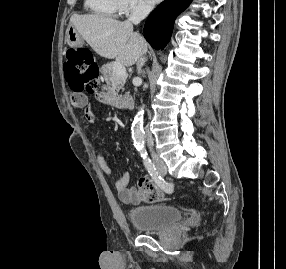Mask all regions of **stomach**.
I'll return each mask as SVG.
<instances>
[{"mask_svg": "<svg viewBox=\"0 0 286 269\" xmlns=\"http://www.w3.org/2000/svg\"><path fill=\"white\" fill-rule=\"evenodd\" d=\"M66 42L70 46H80L83 44V37L78 33V31L73 27L69 26L66 30Z\"/></svg>", "mask_w": 286, "mask_h": 269, "instance_id": "1", "label": "stomach"}]
</instances>
